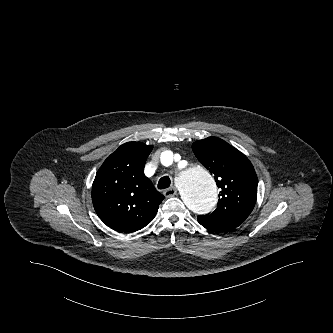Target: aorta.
Here are the masks:
<instances>
[{
    "mask_svg": "<svg viewBox=\"0 0 333 333\" xmlns=\"http://www.w3.org/2000/svg\"><path fill=\"white\" fill-rule=\"evenodd\" d=\"M173 158L172 151H165L161 159ZM178 189L183 203L197 215H207L215 208L218 195L216 183L206 169L188 162L179 176Z\"/></svg>",
    "mask_w": 333,
    "mask_h": 333,
    "instance_id": "1",
    "label": "aorta"
}]
</instances>
